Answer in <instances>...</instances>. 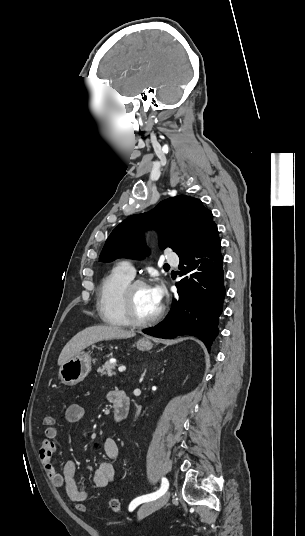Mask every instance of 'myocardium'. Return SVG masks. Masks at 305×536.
I'll return each instance as SVG.
<instances>
[{"label":"myocardium","mask_w":305,"mask_h":536,"mask_svg":"<svg viewBox=\"0 0 305 536\" xmlns=\"http://www.w3.org/2000/svg\"><path fill=\"white\" fill-rule=\"evenodd\" d=\"M139 285H148V284L141 279L132 280L123 289L122 297H121L124 314L128 322L133 325H145V324L152 323L158 320L163 314L162 306H159L157 311L149 316H140L135 312L133 305H132V301H131V295H132L133 289Z\"/></svg>","instance_id":"myocardium-1"}]
</instances>
